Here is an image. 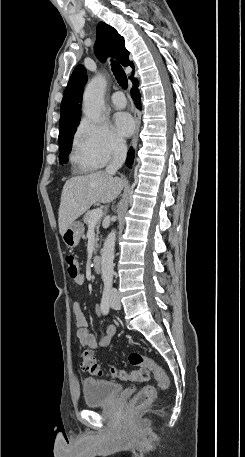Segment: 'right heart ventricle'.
<instances>
[{
    "instance_id": "1",
    "label": "right heart ventricle",
    "mask_w": 245,
    "mask_h": 457,
    "mask_svg": "<svg viewBox=\"0 0 245 457\" xmlns=\"http://www.w3.org/2000/svg\"><path fill=\"white\" fill-rule=\"evenodd\" d=\"M74 154L79 161L88 168H97L100 164L96 162L86 151L83 145L80 144L78 135L74 141Z\"/></svg>"
}]
</instances>
